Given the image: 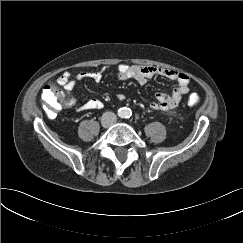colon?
Segmentation results:
<instances>
[{"instance_id": "1", "label": "colon", "mask_w": 243, "mask_h": 243, "mask_svg": "<svg viewBox=\"0 0 243 243\" xmlns=\"http://www.w3.org/2000/svg\"><path fill=\"white\" fill-rule=\"evenodd\" d=\"M42 99L44 102L45 112L49 117H54L56 113L62 109L63 106L67 105V101L56 86H47L42 92ZM199 103V97L196 94H191L188 98L189 105H196Z\"/></svg>"}]
</instances>
